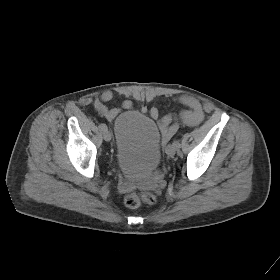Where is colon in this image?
I'll list each match as a JSON object with an SVG mask.
<instances>
[{"instance_id":"obj_1","label":"colon","mask_w":280,"mask_h":280,"mask_svg":"<svg viewBox=\"0 0 280 280\" xmlns=\"http://www.w3.org/2000/svg\"><path fill=\"white\" fill-rule=\"evenodd\" d=\"M156 202V196L152 193H128L124 197V203L129 208H137L142 203L154 204Z\"/></svg>"}]
</instances>
